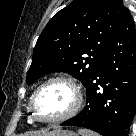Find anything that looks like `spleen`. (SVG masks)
I'll return each mask as SVG.
<instances>
[{"mask_svg": "<svg viewBox=\"0 0 136 136\" xmlns=\"http://www.w3.org/2000/svg\"><path fill=\"white\" fill-rule=\"evenodd\" d=\"M79 133L81 136H98V135L94 134L93 132H90V131H87L84 129H80Z\"/></svg>", "mask_w": 136, "mask_h": 136, "instance_id": "obj_1", "label": "spleen"}]
</instances>
